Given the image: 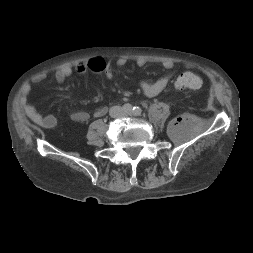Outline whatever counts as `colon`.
I'll return each instance as SVG.
<instances>
[{
    "instance_id": "obj_1",
    "label": "colon",
    "mask_w": 253,
    "mask_h": 253,
    "mask_svg": "<svg viewBox=\"0 0 253 253\" xmlns=\"http://www.w3.org/2000/svg\"><path fill=\"white\" fill-rule=\"evenodd\" d=\"M88 67L94 73H104L107 70V62L102 57L93 58L89 61ZM175 86L183 90H199L203 86L202 78L191 72L180 74L175 80Z\"/></svg>"
}]
</instances>
